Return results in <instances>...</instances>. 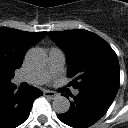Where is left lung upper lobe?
Instances as JSON below:
<instances>
[{
	"label": "left lung upper lobe",
	"instance_id": "obj_1",
	"mask_svg": "<svg viewBox=\"0 0 128 128\" xmlns=\"http://www.w3.org/2000/svg\"><path fill=\"white\" fill-rule=\"evenodd\" d=\"M66 54L68 77L78 90L95 86L118 89L120 68L116 53L98 35L83 29L48 32Z\"/></svg>",
	"mask_w": 128,
	"mask_h": 128
}]
</instances>
